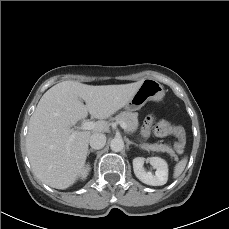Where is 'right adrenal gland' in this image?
<instances>
[{"label": "right adrenal gland", "mask_w": 229, "mask_h": 229, "mask_svg": "<svg viewBox=\"0 0 229 229\" xmlns=\"http://www.w3.org/2000/svg\"><path fill=\"white\" fill-rule=\"evenodd\" d=\"M91 152H95V150H94V149H89L88 152H87V156H89V154H90Z\"/></svg>", "instance_id": "obj_1"}]
</instances>
